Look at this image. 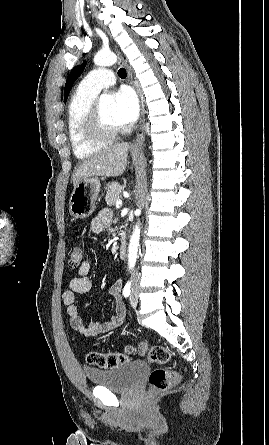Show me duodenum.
I'll use <instances>...</instances> for the list:
<instances>
[{"label":"duodenum","mask_w":269,"mask_h":445,"mask_svg":"<svg viewBox=\"0 0 269 445\" xmlns=\"http://www.w3.org/2000/svg\"><path fill=\"white\" fill-rule=\"evenodd\" d=\"M119 255L121 258H125L127 256V243L125 239H122L120 242Z\"/></svg>","instance_id":"obj_1"}]
</instances>
